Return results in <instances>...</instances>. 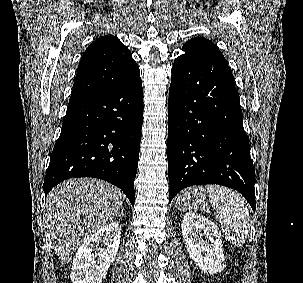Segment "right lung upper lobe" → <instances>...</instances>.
<instances>
[{
	"label": "right lung upper lobe",
	"instance_id": "cb5924a9",
	"mask_svg": "<svg viewBox=\"0 0 303 283\" xmlns=\"http://www.w3.org/2000/svg\"><path fill=\"white\" fill-rule=\"evenodd\" d=\"M139 75L128 48L115 36H101L82 55L69 103L116 89Z\"/></svg>",
	"mask_w": 303,
	"mask_h": 283
}]
</instances>
